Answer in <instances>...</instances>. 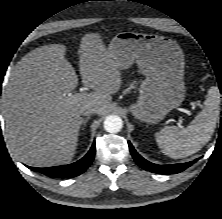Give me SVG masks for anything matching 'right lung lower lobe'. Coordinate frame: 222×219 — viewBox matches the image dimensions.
<instances>
[{
    "instance_id": "obj_1",
    "label": "right lung lower lobe",
    "mask_w": 222,
    "mask_h": 219,
    "mask_svg": "<svg viewBox=\"0 0 222 219\" xmlns=\"http://www.w3.org/2000/svg\"><path fill=\"white\" fill-rule=\"evenodd\" d=\"M95 152H96V147L94 142L89 152L82 159H80L75 163L63 166L47 167V168H35L29 166L27 167L33 171H38L49 177L73 178L82 174L90 166V164L94 159Z\"/></svg>"
}]
</instances>
